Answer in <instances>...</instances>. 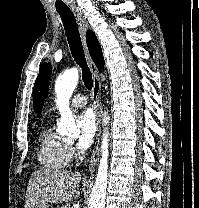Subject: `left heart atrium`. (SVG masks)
I'll list each match as a JSON object with an SVG mask.
<instances>
[{
	"mask_svg": "<svg viewBox=\"0 0 199 208\" xmlns=\"http://www.w3.org/2000/svg\"><path fill=\"white\" fill-rule=\"evenodd\" d=\"M77 125L81 133L78 145L80 148L86 149L91 145L96 133L97 126L93 111L91 109L83 110L77 116Z\"/></svg>",
	"mask_w": 199,
	"mask_h": 208,
	"instance_id": "left-heart-atrium-1",
	"label": "left heart atrium"
}]
</instances>
